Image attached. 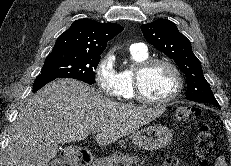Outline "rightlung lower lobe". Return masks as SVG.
Returning <instances> with one entry per match:
<instances>
[{
  "label": "right lung lower lobe",
  "mask_w": 231,
  "mask_h": 166,
  "mask_svg": "<svg viewBox=\"0 0 231 166\" xmlns=\"http://www.w3.org/2000/svg\"><path fill=\"white\" fill-rule=\"evenodd\" d=\"M56 78L57 77L50 75H39L34 81L33 92L38 91L41 87H43L44 85L53 81Z\"/></svg>",
  "instance_id": "right-lung-lower-lobe-1"
}]
</instances>
